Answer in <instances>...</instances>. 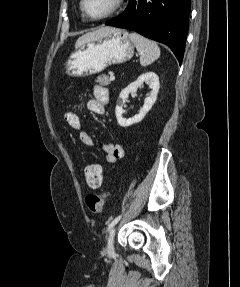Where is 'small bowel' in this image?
I'll list each match as a JSON object with an SVG mask.
<instances>
[{"label":"small bowel","instance_id":"small-bowel-1","mask_svg":"<svg viewBox=\"0 0 240 287\" xmlns=\"http://www.w3.org/2000/svg\"><path fill=\"white\" fill-rule=\"evenodd\" d=\"M93 95V98L87 102V109L91 113L103 115L109 102V92L102 86H95L93 89ZM64 119L71 128L80 131L79 138L85 146H93V139L91 135L88 132L82 130V122L78 114L67 111L64 114ZM103 151L104 160L109 164L115 163L125 155L123 147L120 144L112 142L104 143Z\"/></svg>","mask_w":240,"mask_h":287}]
</instances>
